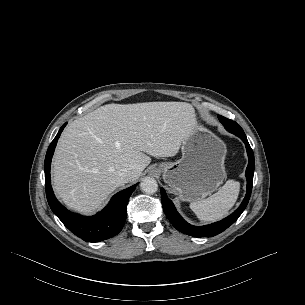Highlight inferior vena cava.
Here are the masks:
<instances>
[{"label":"inferior vena cava","instance_id":"1","mask_svg":"<svg viewBox=\"0 0 305 305\" xmlns=\"http://www.w3.org/2000/svg\"><path fill=\"white\" fill-rule=\"evenodd\" d=\"M132 171L129 168H123L119 171L118 175L122 182H128L131 177Z\"/></svg>","mask_w":305,"mask_h":305}]
</instances>
